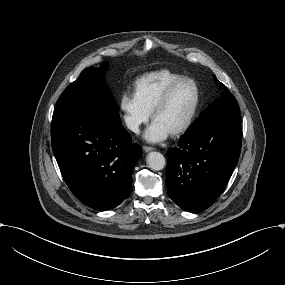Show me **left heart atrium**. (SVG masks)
I'll list each match as a JSON object with an SVG mask.
<instances>
[{
    "label": "left heart atrium",
    "mask_w": 285,
    "mask_h": 285,
    "mask_svg": "<svg viewBox=\"0 0 285 285\" xmlns=\"http://www.w3.org/2000/svg\"><path fill=\"white\" fill-rule=\"evenodd\" d=\"M170 133L171 131L167 127L154 119L146 129L144 137L147 141L155 143L165 140Z\"/></svg>",
    "instance_id": "1"
}]
</instances>
